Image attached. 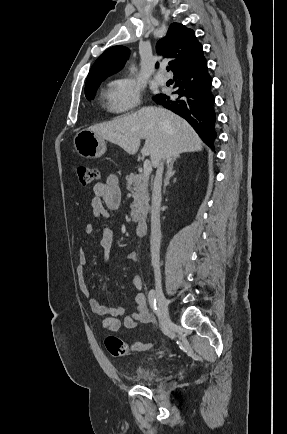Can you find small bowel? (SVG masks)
Returning a JSON list of instances; mask_svg holds the SVG:
<instances>
[{
    "label": "small bowel",
    "mask_w": 287,
    "mask_h": 434,
    "mask_svg": "<svg viewBox=\"0 0 287 434\" xmlns=\"http://www.w3.org/2000/svg\"><path fill=\"white\" fill-rule=\"evenodd\" d=\"M94 197L91 200V213L94 218L109 216L112 211L118 208L121 191L118 177L110 173L105 181L98 182L93 186ZM98 231L100 236V245L103 251V262L107 263L110 250L112 248L115 231L110 226H103L96 229L93 223H88L85 227L86 235H92ZM128 262H136L137 253L129 251L125 254ZM88 265V258L85 252L80 249L78 253V265L76 268V281L80 292L88 298L90 310L95 315L103 316L101 326L108 331L115 332L121 326L128 330L135 329L138 324H147L151 321V314L147 305L146 296L143 293V280L139 274L133 277V286L136 289L135 304L136 310L132 315L124 316L122 307H115L108 304L100 303L94 298L89 297V287L85 279V268ZM97 284L94 283L93 287Z\"/></svg>",
    "instance_id": "c3829d8e"
}]
</instances>
